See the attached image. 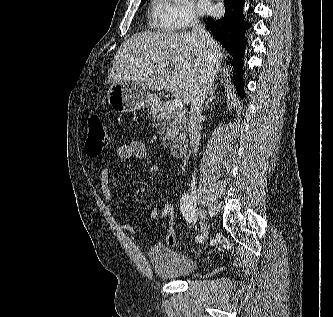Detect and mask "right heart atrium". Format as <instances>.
I'll list each match as a JSON object with an SVG mask.
<instances>
[{
	"label": "right heart atrium",
	"mask_w": 333,
	"mask_h": 317,
	"mask_svg": "<svg viewBox=\"0 0 333 317\" xmlns=\"http://www.w3.org/2000/svg\"><path fill=\"white\" fill-rule=\"evenodd\" d=\"M197 21L191 0H154V22L162 31L184 30Z\"/></svg>",
	"instance_id": "right-heart-atrium-1"
}]
</instances>
